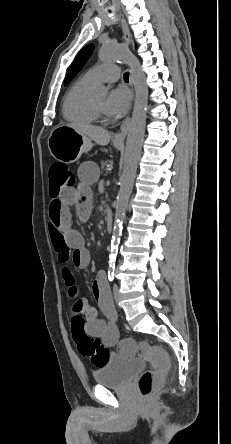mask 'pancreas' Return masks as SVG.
I'll return each mask as SVG.
<instances>
[{
	"mask_svg": "<svg viewBox=\"0 0 231 444\" xmlns=\"http://www.w3.org/2000/svg\"><path fill=\"white\" fill-rule=\"evenodd\" d=\"M111 166H112V162L110 160L101 161V169L102 170H107Z\"/></svg>",
	"mask_w": 231,
	"mask_h": 444,
	"instance_id": "obj_1",
	"label": "pancreas"
}]
</instances>
